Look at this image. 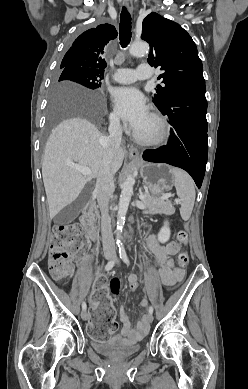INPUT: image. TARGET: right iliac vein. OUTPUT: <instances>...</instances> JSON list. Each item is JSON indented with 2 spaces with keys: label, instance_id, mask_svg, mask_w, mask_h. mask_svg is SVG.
Instances as JSON below:
<instances>
[{
  "label": "right iliac vein",
  "instance_id": "right-iliac-vein-1",
  "mask_svg": "<svg viewBox=\"0 0 248 389\" xmlns=\"http://www.w3.org/2000/svg\"><path fill=\"white\" fill-rule=\"evenodd\" d=\"M111 256L107 255L106 256V259H110ZM81 318L84 320V321H87L89 319V313L86 311V310H83L81 312Z\"/></svg>",
  "mask_w": 248,
  "mask_h": 389
}]
</instances>
